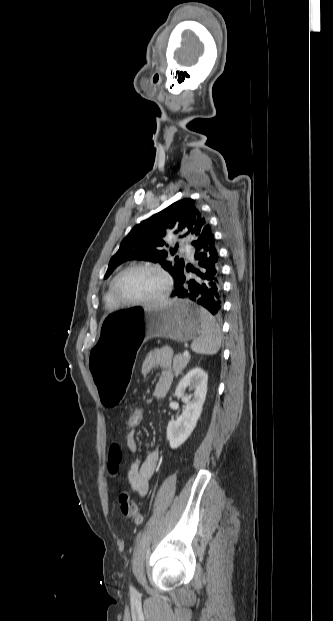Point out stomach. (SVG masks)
I'll list each match as a JSON object with an SVG mask.
<instances>
[{
  "mask_svg": "<svg viewBox=\"0 0 333 621\" xmlns=\"http://www.w3.org/2000/svg\"><path fill=\"white\" fill-rule=\"evenodd\" d=\"M98 340L91 345L92 380L102 408L109 413L131 385L134 361L140 343L154 337L180 343L194 339L201 331L200 308L186 300L132 307L103 316Z\"/></svg>",
  "mask_w": 333,
  "mask_h": 621,
  "instance_id": "stomach-1",
  "label": "stomach"
}]
</instances>
